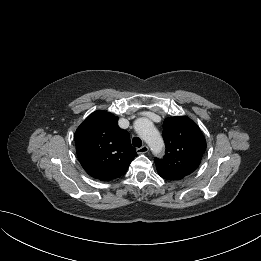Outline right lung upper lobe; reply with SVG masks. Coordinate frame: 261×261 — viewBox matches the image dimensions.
<instances>
[{"instance_id":"1","label":"right lung upper lobe","mask_w":261,"mask_h":261,"mask_svg":"<svg viewBox=\"0 0 261 261\" xmlns=\"http://www.w3.org/2000/svg\"><path fill=\"white\" fill-rule=\"evenodd\" d=\"M118 117L110 112L95 111L75 132L78 159L93 178L109 181L126 173L137 156L130 135L118 124Z\"/></svg>"}]
</instances>
